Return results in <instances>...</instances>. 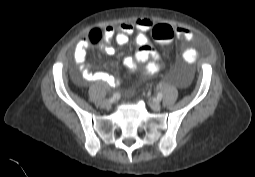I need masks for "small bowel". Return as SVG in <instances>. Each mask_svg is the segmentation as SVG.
I'll list each match as a JSON object with an SVG mask.
<instances>
[{"label":"small bowel","instance_id":"small-bowel-1","mask_svg":"<svg viewBox=\"0 0 255 177\" xmlns=\"http://www.w3.org/2000/svg\"><path fill=\"white\" fill-rule=\"evenodd\" d=\"M154 24V20L150 18H138L133 22L120 23L118 31L113 26H106L101 32L104 42L100 44V47L107 55H113L115 50L110 45L111 40L114 39L118 45L123 46L129 42L132 35H135L137 50L133 56L125 57L123 64L130 71H134L138 64H143V76H153L161 70L160 56L151 46L148 38V33ZM175 35L178 39L186 41H191L194 38L193 32L182 26L175 28ZM89 47L90 41L87 36L75 46L73 59L78 75L85 81H95L109 86H118L121 83L119 77L103 71H93L91 64L87 62ZM196 57L197 53L194 49H186L181 54V59L186 65L194 63Z\"/></svg>","mask_w":255,"mask_h":177}]
</instances>
